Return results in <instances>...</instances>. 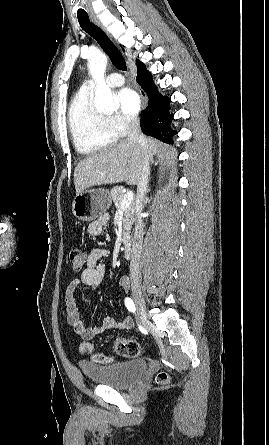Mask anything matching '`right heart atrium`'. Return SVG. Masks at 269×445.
Masks as SVG:
<instances>
[{
    "label": "right heart atrium",
    "mask_w": 269,
    "mask_h": 445,
    "mask_svg": "<svg viewBox=\"0 0 269 445\" xmlns=\"http://www.w3.org/2000/svg\"><path fill=\"white\" fill-rule=\"evenodd\" d=\"M108 122L117 137L126 135L136 124L134 118L122 115L109 116Z\"/></svg>",
    "instance_id": "obj_1"
}]
</instances>
